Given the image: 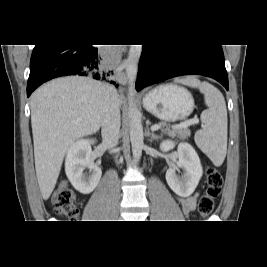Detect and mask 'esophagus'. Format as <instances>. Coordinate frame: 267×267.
<instances>
[{"label":"esophagus","instance_id":"obj_1","mask_svg":"<svg viewBox=\"0 0 267 267\" xmlns=\"http://www.w3.org/2000/svg\"><path fill=\"white\" fill-rule=\"evenodd\" d=\"M118 81L121 82V81H125V75L124 74H119L118 77H117Z\"/></svg>","mask_w":267,"mask_h":267}]
</instances>
